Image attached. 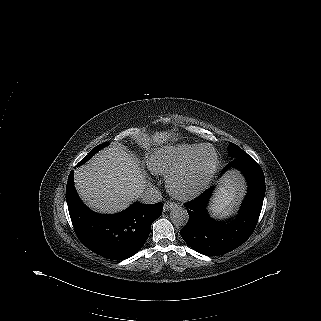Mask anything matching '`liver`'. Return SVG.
<instances>
[{"mask_svg": "<svg viewBox=\"0 0 321 321\" xmlns=\"http://www.w3.org/2000/svg\"><path fill=\"white\" fill-rule=\"evenodd\" d=\"M165 133L155 139H164ZM75 187L82 200L93 210L115 213L138 199L146 187L138 161L122 145L115 144L101 151L86 165L75 171ZM228 192L221 188L218 201Z\"/></svg>", "mask_w": 321, "mask_h": 321, "instance_id": "6515ba94", "label": "liver"}]
</instances>
